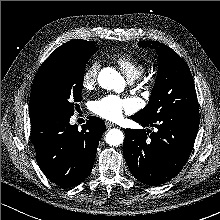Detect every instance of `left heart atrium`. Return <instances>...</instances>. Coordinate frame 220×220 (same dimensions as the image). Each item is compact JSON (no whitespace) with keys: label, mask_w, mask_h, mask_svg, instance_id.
Instances as JSON below:
<instances>
[{"label":"left heart atrium","mask_w":220,"mask_h":220,"mask_svg":"<svg viewBox=\"0 0 220 220\" xmlns=\"http://www.w3.org/2000/svg\"><path fill=\"white\" fill-rule=\"evenodd\" d=\"M133 110V102L130 99L116 95H108L93 102L92 111L107 120H118L123 113Z\"/></svg>","instance_id":"left-heart-atrium-1"}]
</instances>
